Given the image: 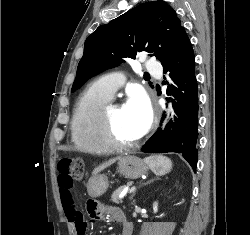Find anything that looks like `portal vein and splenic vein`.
I'll return each mask as SVG.
<instances>
[{"mask_svg":"<svg viewBox=\"0 0 250 235\" xmlns=\"http://www.w3.org/2000/svg\"><path fill=\"white\" fill-rule=\"evenodd\" d=\"M135 190H136V188L135 187H132L130 190H129V193H133V192H135ZM124 195L123 194H121L120 196H119V198H122Z\"/></svg>","mask_w":250,"mask_h":235,"instance_id":"portal-vein-and-splenic-vein-1","label":"portal vein and splenic vein"}]
</instances>
